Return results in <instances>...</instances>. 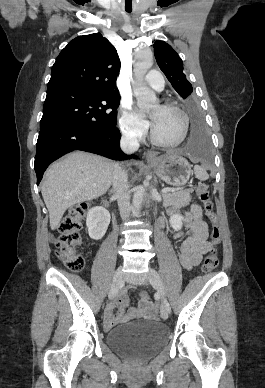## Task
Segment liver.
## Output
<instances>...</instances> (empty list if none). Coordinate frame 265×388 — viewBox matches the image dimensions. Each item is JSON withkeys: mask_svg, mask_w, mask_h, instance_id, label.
I'll use <instances>...</instances> for the list:
<instances>
[{"mask_svg": "<svg viewBox=\"0 0 265 388\" xmlns=\"http://www.w3.org/2000/svg\"><path fill=\"white\" fill-rule=\"evenodd\" d=\"M117 164L86 152H71L46 170L41 192L49 212L50 228H58L64 212L80 202L103 196L112 184Z\"/></svg>", "mask_w": 265, "mask_h": 388, "instance_id": "obj_1", "label": "liver"}]
</instances>
